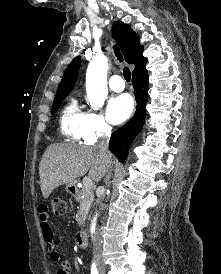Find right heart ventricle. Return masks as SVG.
I'll list each match as a JSON object with an SVG mask.
<instances>
[{"mask_svg":"<svg viewBox=\"0 0 221 274\" xmlns=\"http://www.w3.org/2000/svg\"><path fill=\"white\" fill-rule=\"evenodd\" d=\"M85 113L81 111L75 98H71L62 110L60 128L63 135L71 140L82 139V123Z\"/></svg>","mask_w":221,"mask_h":274,"instance_id":"right-heart-ventricle-1","label":"right heart ventricle"}]
</instances>
